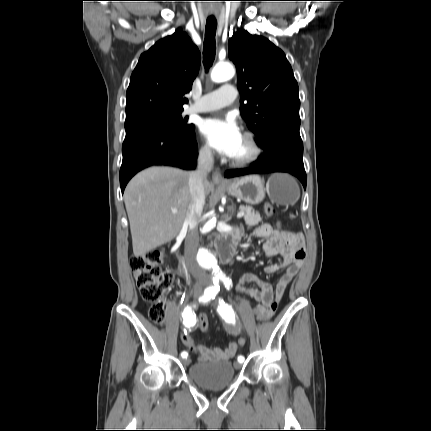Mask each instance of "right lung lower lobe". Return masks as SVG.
Here are the masks:
<instances>
[{
    "label": "right lung lower lobe",
    "instance_id": "98d812e1",
    "mask_svg": "<svg viewBox=\"0 0 431 431\" xmlns=\"http://www.w3.org/2000/svg\"><path fill=\"white\" fill-rule=\"evenodd\" d=\"M120 169L122 193L128 181L140 170L152 165L195 169L197 142L194 129L178 131L164 126H149L126 133Z\"/></svg>",
    "mask_w": 431,
    "mask_h": 431
}]
</instances>
